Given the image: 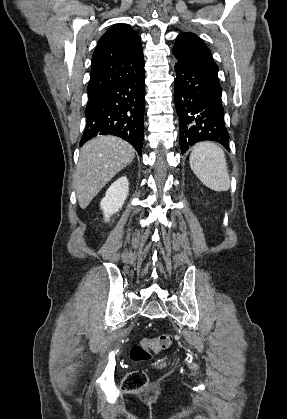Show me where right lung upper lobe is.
I'll list each match as a JSON object with an SVG mask.
<instances>
[{"mask_svg":"<svg viewBox=\"0 0 287 419\" xmlns=\"http://www.w3.org/2000/svg\"><path fill=\"white\" fill-rule=\"evenodd\" d=\"M88 96L144 68L140 36L129 25L112 26L99 40L91 63Z\"/></svg>","mask_w":287,"mask_h":419,"instance_id":"right-lung-upper-lobe-1","label":"right lung upper lobe"}]
</instances>
